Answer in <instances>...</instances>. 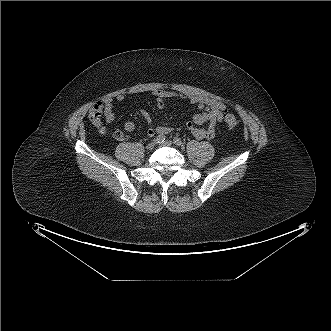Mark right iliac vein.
Wrapping results in <instances>:
<instances>
[{
	"instance_id": "right-iliac-vein-1",
	"label": "right iliac vein",
	"mask_w": 331,
	"mask_h": 331,
	"mask_svg": "<svg viewBox=\"0 0 331 331\" xmlns=\"http://www.w3.org/2000/svg\"><path fill=\"white\" fill-rule=\"evenodd\" d=\"M154 147H155V143H154V142H151V143H149V144L146 146L147 150H153Z\"/></svg>"
}]
</instances>
